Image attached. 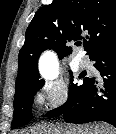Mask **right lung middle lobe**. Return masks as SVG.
<instances>
[{
    "instance_id": "obj_1",
    "label": "right lung middle lobe",
    "mask_w": 116,
    "mask_h": 134,
    "mask_svg": "<svg viewBox=\"0 0 116 134\" xmlns=\"http://www.w3.org/2000/svg\"><path fill=\"white\" fill-rule=\"evenodd\" d=\"M72 76V73H70ZM73 77V76H72ZM89 78H85L83 80V84L73 83V79H71V85L69 87V97L67 102L61 107L48 112L45 116L52 115L56 112L61 111L67 104L75 101L79 95L82 93L87 81ZM44 85V81L40 80L26 86L23 91L14 96V115L13 121L11 124V128L15 129L17 127L23 126L27 124L33 116L31 115V105L34 100V95L36 92L42 88Z\"/></svg>"
}]
</instances>
